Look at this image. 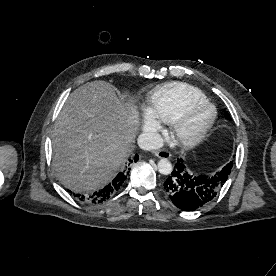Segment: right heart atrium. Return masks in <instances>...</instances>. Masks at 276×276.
I'll return each mask as SVG.
<instances>
[{
    "label": "right heart atrium",
    "instance_id": "d8ad5b80",
    "mask_svg": "<svg viewBox=\"0 0 276 276\" xmlns=\"http://www.w3.org/2000/svg\"><path fill=\"white\" fill-rule=\"evenodd\" d=\"M145 129L150 133H156L160 129V124L155 118L149 116L145 121Z\"/></svg>",
    "mask_w": 276,
    "mask_h": 276
}]
</instances>
